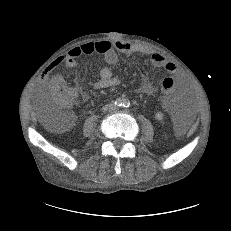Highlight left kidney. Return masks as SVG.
<instances>
[{
    "label": "left kidney",
    "mask_w": 231,
    "mask_h": 231,
    "mask_svg": "<svg viewBox=\"0 0 231 231\" xmlns=\"http://www.w3.org/2000/svg\"><path fill=\"white\" fill-rule=\"evenodd\" d=\"M155 118L158 120V121H162L164 119V115L162 112H156L155 113Z\"/></svg>",
    "instance_id": "obj_1"
}]
</instances>
